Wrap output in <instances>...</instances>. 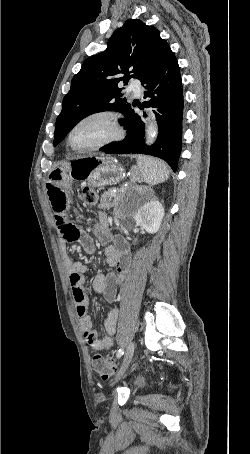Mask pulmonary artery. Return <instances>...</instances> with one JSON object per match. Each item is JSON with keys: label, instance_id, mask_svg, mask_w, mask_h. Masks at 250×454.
I'll return each instance as SVG.
<instances>
[{"label": "pulmonary artery", "instance_id": "e3ab8cb5", "mask_svg": "<svg viewBox=\"0 0 250 454\" xmlns=\"http://www.w3.org/2000/svg\"><path fill=\"white\" fill-rule=\"evenodd\" d=\"M128 91H133L136 95H140L141 93L140 82L136 79H132L129 83Z\"/></svg>", "mask_w": 250, "mask_h": 454}]
</instances>
